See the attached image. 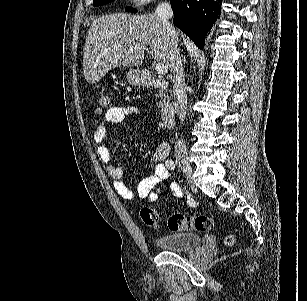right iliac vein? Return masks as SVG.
Segmentation results:
<instances>
[{
  "label": "right iliac vein",
  "mask_w": 307,
  "mask_h": 301,
  "mask_svg": "<svg viewBox=\"0 0 307 301\" xmlns=\"http://www.w3.org/2000/svg\"><path fill=\"white\" fill-rule=\"evenodd\" d=\"M177 162L179 164V166L182 168L184 174L189 177V178H192V168H191V165L188 161V159L183 156V155H180L177 157Z\"/></svg>",
  "instance_id": "obj_1"
}]
</instances>
